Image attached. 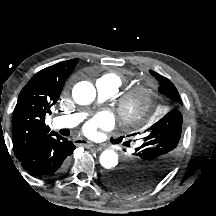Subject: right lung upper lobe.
<instances>
[{
  "instance_id": "right-lung-upper-lobe-1",
  "label": "right lung upper lobe",
  "mask_w": 216,
  "mask_h": 216,
  "mask_svg": "<svg viewBox=\"0 0 216 216\" xmlns=\"http://www.w3.org/2000/svg\"><path fill=\"white\" fill-rule=\"evenodd\" d=\"M78 61L60 62L39 71L20 92L12 121L13 145L19 160L55 134L45 124V115L51 113L50 108L57 102Z\"/></svg>"
}]
</instances>
